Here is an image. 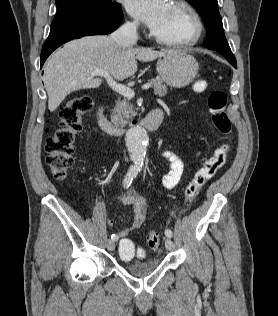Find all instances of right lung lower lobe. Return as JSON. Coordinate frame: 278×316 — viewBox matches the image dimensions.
Wrapping results in <instances>:
<instances>
[{
    "mask_svg": "<svg viewBox=\"0 0 278 316\" xmlns=\"http://www.w3.org/2000/svg\"><path fill=\"white\" fill-rule=\"evenodd\" d=\"M122 16L121 6L119 5L110 13L87 14L52 23L49 36L42 48L41 67L57 47L70 40L113 32L122 21Z\"/></svg>",
    "mask_w": 278,
    "mask_h": 316,
    "instance_id": "right-lung-lower-lobe-1",
    "label": "right lung lower lobe"
}]
</instances>
